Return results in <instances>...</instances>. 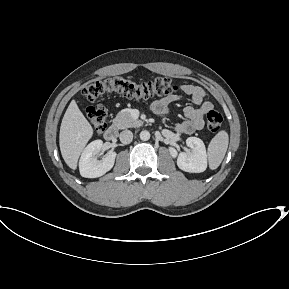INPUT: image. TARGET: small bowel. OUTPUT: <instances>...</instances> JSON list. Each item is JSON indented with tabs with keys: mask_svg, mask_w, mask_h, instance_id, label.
Masks as SVG:
<instances>
[{
	"mask_svg": "<svg viewBox=\"0 0 289 289\" xmlns=\"http://www.w3.org/2000/svg\"><path fill=\"white\" fill-rule=\"evenodd\" d=\"M180 90L190 96L193 105L184 108L186 120L178 123L175 129L180 133L192 134L203 128L204 116L212 110L213 105L204 100L205 92L199 86L183 84L180 86ZM179 100L180 97L178 95L170 94L153 102L151 109L156 114L165 115L168 113L170 105Z\"/></svg>",
	"mask_w": 289,
	"mask_h": 289,
	"instance_id": "small-bowel-1",
	"label": "small bowel"
}]
</instances>
